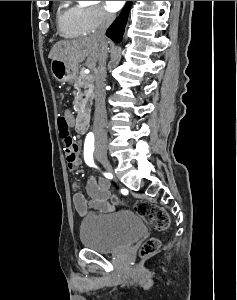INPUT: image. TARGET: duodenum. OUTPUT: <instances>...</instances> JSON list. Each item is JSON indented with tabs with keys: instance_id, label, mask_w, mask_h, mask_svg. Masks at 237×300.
I'll use <instances>...</instances> for the list:
<instances>
[{
	"instance_id": "1",
	"label": "duodenum",
	"mask_w": 237,
	"mask_h": 300,
	"mask_svg": "<svg viewBox=\"0 0 237 300\" xmlns=\"http://www.w3.org/2000/svg\"><path fill=\"white\" fill-rule=\"evenodd\" d=\"M88 129V119L86 116L81 115L76 122V131L79 134H85Z\"/></svg>"
}]
</instances>
